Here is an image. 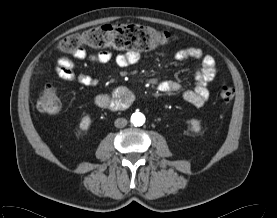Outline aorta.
Masks as SVG:
<instances>
[{
	"mask_svg": "<svg viewBox=\"0 0 277 218\" xmlns=\"http://www.w3.org/2000/svg\"><path fill=\"white\" fill-rule=\"evenodd\" d=\"M130 121L134 126H142L145 122V116L140 112H135L132 114Z\"/></svg>",
	"mask_w": 277,
	"mask_h": 218,
	"instance_id": "1",
	"label": "aorta"
}]
</instances>
